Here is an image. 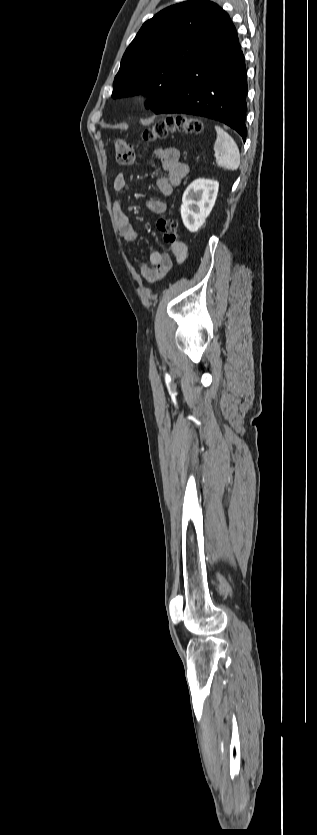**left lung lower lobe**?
<instances>
[{
	"instance_id": "1",
	"label": "left lung lower lobe",
	"mask_w": 317,
	"mask_h": 835,
	"mask_svg": "<svg viewBox=\"0 0 317 835\" xmlns=\"http://www.w3.org/2000/svg\"><path fill=\"white\" fill-rule=\"evenodd\" d=\"M247 71L236 29L226 13L186 68L177 98L154 111L184 113L220 121L246 140Z\"/></svg>"
}]
</instances>
